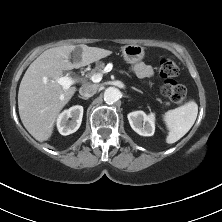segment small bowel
Instances as JSON below:
<instances>
[{"label": "small bowel", "mask_w": 222, "mask_h": 222, "mask_svg": "<svg viewBox=\"0 0 222 222\" xmlns=\"http://www.w3.org/2000/svg\"><path fill=\"white\" fill-rule=\"evenodd\" d=\"M133 72L140 78H149L154 73L153 68L143 62L134 65Z\"/></svg>", "instance_id": "c3829d8e"}]
</instances>
